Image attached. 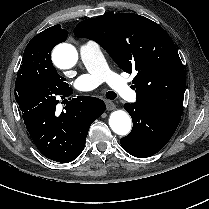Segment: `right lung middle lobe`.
Instances as JSON below:
<instances>
[{
  "label": "right lung middle lobe",
  "instance_id": "obj_1",
  "mask_svg": "<svg viewBox=\"0 0 209 209\" xmlns=\"http://www.w3.org/2000/svg\"><path fill=\"white\" fill-rule=\"evenodd\" d=\"M55 41L50 33L41 32L28 43L24 50L17 80L26 79L39 85L49 86L56 91H64L69 85L60 76L51 61V51Z\"/></svg>",
  "mask_w": 209,
  "mask_h": 209
}]
</instances>
